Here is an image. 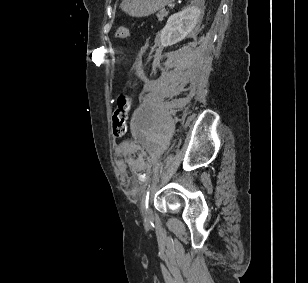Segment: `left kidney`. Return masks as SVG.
I'll list each match as a JSON object with an SVG mask.
<instances>
[{
    "mask_svg": "<svg viewBox=\"0 0 308 283\" xmlns=\"http://www.w3.org/2000/svg\"><path fill=\"white\" fill-rule=\"evenodd\" d=\"M203 5L202 0H193L191 5L171 15L160 33L161 45L163 47L171 46L190 34L198 23Z\"/></svg>",
    "mask_w": 308,
    "mask_h": 283,
    "instance_id": "obj_1",
    "label": "left kidney"
}]
</instances>
